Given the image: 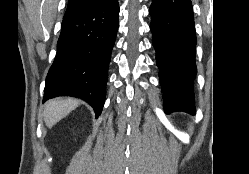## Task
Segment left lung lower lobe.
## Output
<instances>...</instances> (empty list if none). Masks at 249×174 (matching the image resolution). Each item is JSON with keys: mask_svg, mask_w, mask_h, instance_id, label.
<instances>
[{"mask_svg": "<svg viewBox=\"0 0 249 174\" xmlns=\"http://www.w3.org/2000/svg\"><path fill=\"white\" fill-rule=\"evenodd\" d=\"M149 13L165 111L195 114L197 40L191 0H152Z\"/></svg>", "mask_w": 249, "mask_h": 174, "instance_id": "1", "label": "left lung lower lobe"}]
</instances>
